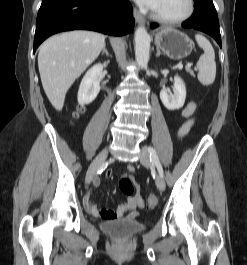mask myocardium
<instances>
[{
  "instance_id": "f54148a6",
  "label": "myocardium",
  "mask_w": 247,
  "mask_h": 265,
  "mask_svg": "<svg viewBox=\"0 0 247 265\" xmlns=\"http://www.w3.org/2000/svg\"><path fill=\"white\" fill-rule=\"evenodd\" d=\"M196 9V1L195 0H187V6L183 13L178 16L169 17L163 16L154 10L151 11V16L158 22L167 25L179 24L188 20L195 12Z\"/></svg>"
}]
</instances>
